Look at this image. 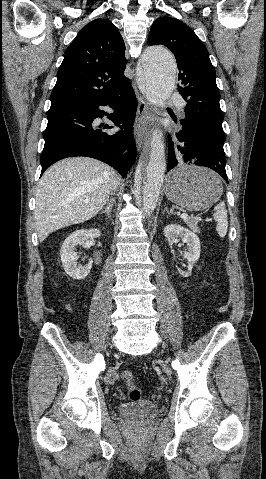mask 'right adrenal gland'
I'll use <instances>...</instances> for the list:
<instances>
[{
  "mask_svg": "<svg viewBox=\"0 0 266 479\" xmlns=\"http://www.w3.org/2000/svg\"><path fill=\"white\" fill-rule=\"evenodd\" d=\"M114 204H115L114 199H111V200L107 203V206H106L105 210H103V211L101 212V214L105 213V214H107L108 218H110V214H111V211H112V209H113Z\"/></svg>",
  "mask_w": 266,
  "mask_h": 479,
  "instance_id": "obj_1",
  "label": "right adrenal gland"
}]
</instances>
